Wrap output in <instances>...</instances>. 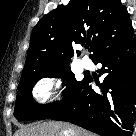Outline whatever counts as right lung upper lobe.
<instances>
[{
	"mask_svg": "<svg viewBox=\"0 0 136 136\" xmlns=\"http://www.w3.org/2000/svg\"><path fill=\"white\" fill-rule=\"evenodd\" d=\"M133 35L127 8L120 0H70L45 15L34 27L21 79L69 64L73 44L92 39V59L103 49ZM80 52L77 51V55Z\"/></svg>",
	"mask_w": 136,
	"mask_h": 136,
	"instance_id": "cb5924a9",
	"label": "right lung upper lobe"
}]
</instances>
